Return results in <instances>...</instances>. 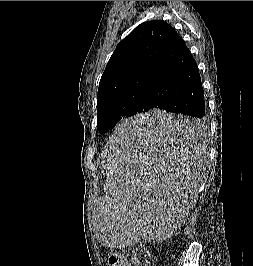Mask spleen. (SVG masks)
<instances>
[{
    "label": "spleen",
    "instance_id": "1",
    "mask_svg": "<svg viewBox=\"0 0 253 266\" xmlns=\"http://www.w3.org/2000/svg\"><path fill=\"white\" fill-rule=\"evenodd\" d=\"M103 161L108 207H95L103 248H161L184 229L202 174V123L180 111H145L120 123Z\"/></svg>",
    "mask_w": 253,
    "mask_h": 266
}]
</instances>
